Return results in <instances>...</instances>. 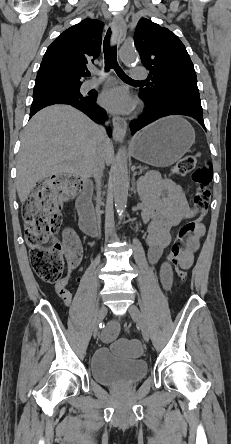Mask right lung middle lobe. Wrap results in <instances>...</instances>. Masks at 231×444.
Listing matches in <instances>:
<instances>
[{
    "mask_svg": "<svg viewBox=\"0 0 231 444\" xmlns=\"http://www.w3.org/2000/svg\"><path fill=\"white\" fill-rule=\"evenodd\" d=\"M80 86H81V84H75V85L57 84V85H54V86L47 88L45 90H42V91L34 90L33 97L39 96L42 94H65V95L76 97V98H83L85 96H83L80 93Z\"/></svg>",
    "mask_w": 231,
    "mask_h": 444,
    "instance_id": "dd1d6c3e",
    "label": "right lung middle lobe"
}]
</instances>
